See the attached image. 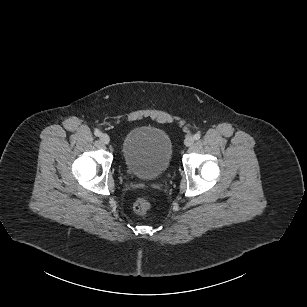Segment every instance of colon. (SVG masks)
I'll use <instances>...</instances> for the list:
<instances>
[{
    "label": "colon",
    "mask_w": 307,
    "mask_h": 307,
    "mask_svg": "<svg viewBox=\"0 0 307 307\" xmlns=\"http://www.w3.org/2000/svg\"><path fill=\"white\" fill-rule=\"evenodd\" d=\"M134 211L138 214H145L152 208V202L147 197H140L134 203Z\"/></svg>",
    "instance_id": "5ec220e1"
}]
</instances>
